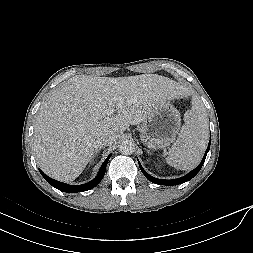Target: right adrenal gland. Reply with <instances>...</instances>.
<instances>
[{"label":"right adrenal gland","instance_id":"obj_1","mask_svg":"<svg viewBox=\"0 0 253 253\" xmlns=\"http://www.w3.org/2000/svg\"><path fill=\"white\" fill-rule=\"evenodd\" d=\"M102 148H103V147L100 146V147L96 150L95 155L93 156V158H92V160L90 161V163L94 161V158L97 156V154L99 153V151H100Z\"/></svg>","mask_w":253,"mask_h":253}]
</instances>
